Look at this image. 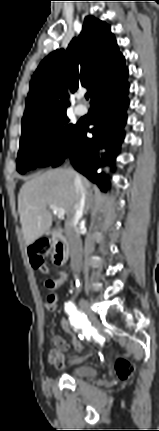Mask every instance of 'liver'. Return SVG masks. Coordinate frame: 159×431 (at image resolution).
I'll return each mask as SVG.
<instances>
[{"mask_svg": "<svg viewBox=\"0 0 159 431\" xmlns=\"http://www.w3.org/2000/svg\"><path fill=\"white\" fill-rule=\"evenodd\" d=\"M75 174L70 169H54L36 175L23 184L18 195V212L26 245L49 231L52 216L48 206L63 208L67 222L70 221L78 200ZM80 178L84 188H90V182L82 176Z\"/></svg>", "mask_w": 159, "mask_h": 431, "instance_id": "obj_1", "label": "liver"}]
</instances>
